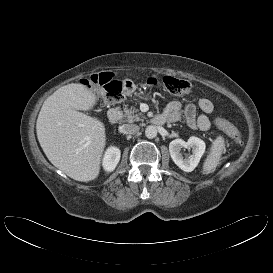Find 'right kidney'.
<instances>
[{
  "label": "right kidney",
  "instance_id": "right-kidney-1",
  "mask_svg": "<svg viewBox=\"0 0 273 273\" xmlns=\"http://www.w3.org/2000/svg\"><path fill=\"white\" fill-rule=\"evenodd\" d=\"M120 150L117 147H110L105 152L103 158V168L107 172H112L120 160Z\"/></svg>",
  "mask_w": 273,
  "mask_h": 273
}]
</instances>
